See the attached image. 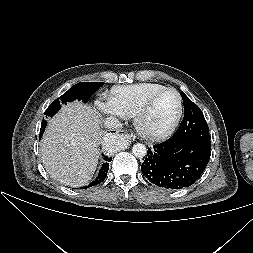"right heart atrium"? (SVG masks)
Segmentation results:
<instances>
[{"label":"right heart atrium","instance_id":"1","mask_svg":"<svg viewBox=\"0 0 253 253\" xmlns=\"http://www.w3.org/2000/svg\"><path fill=\"white\" fill-rule=\"evenodd\" d=\"M95 106L100 112H102L104 114L119 115L110 101L98 100L95 102Z\"/></svg>","mask_w":253,"mask_h":253}]
</instances>
